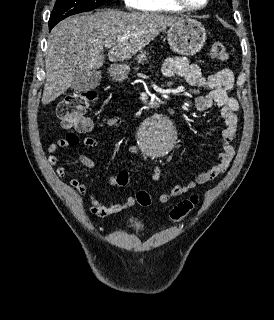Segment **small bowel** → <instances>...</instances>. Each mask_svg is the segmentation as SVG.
<instances>
[{"instance_id":"c3829d8e","label":"small bowel","mask_w":274,"mask_h":320,"mask_svg":"<svg viewBox=\"0 0 274 320\" xmlns=\"http://www.w3.org/2000/svg\"><path fill=\"white\" fill-rule=\"evenodd\" d=\"M163 74L168 77L180 76L184 77L187 83L193 87L209 89L210 92L204 96H198L195 101V107L199 111H206L212 106H217L220 109L224 120V129L222 131L223 152L217 157V162L206 169L204 172L197 175L191 181L174 186L170 191L162 193L158 196L161 203H167L177 196L183 195L197 187L213 180L218 175L222 174L229 167L234 154L235 148L233 142L236 140L239 126V103L230 95V91L235 85V75L231 69L223 68L210 75H203L200 68L193 63H190L186 57L174 56L167 58L163 63ZM76 131H88L91 126L98 124L94 119H75ZM122 124L120 117H111L106 121L108 127H118ZM81 144L88 148H98L99 142L93 137L77 138L75 143L71 144L66 139H60L52 143L48 147L50 153L48 161L51 165H55L58 157L55 152L69 145ZM128 152L131 154H139L140 150L136 146H129ZM80 162L89 169H96L97 163L86 155L79 156ZM66 169L64 166H59L56 169V174L59 177L64 176ZM128 175L126 171H121L118 175ZM109 176L107 182L111 186H118L117 176ZM161 178V169L159 166L153 167L152 180L159 181ZM70 186L74 188L81 197H86L88 200L89 211L98 217H108L114 214L121 213L135 204V198L128 197L122 203H113L110 205L103 204L93 191H90L85 183L77 178L70 180Z\"/></svg>"}]
</instances>
